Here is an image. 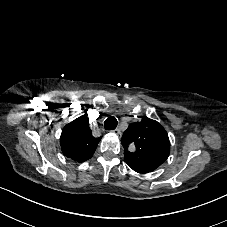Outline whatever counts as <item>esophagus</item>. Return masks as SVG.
I'll return each instance as SVG.
<instances>
[{
	"label": "esophagus",
	"mask_w": 227,
	"mask_h": 227,
	"mask_svg": "<svg viewBox=\"0 0 227 227\" xmlns=\"http://www.w3.org/2000/svg\"><path fill=\"white\" fill-rule=\"evenodd\" d=\"M113 132L117 135L118 138H121L122 133L119 129H115Z\"/></svg>",
	"instance_id": "obj_1"
}]
</instances>
